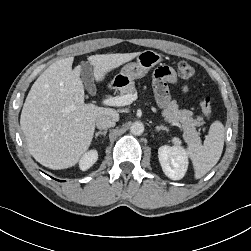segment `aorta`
<instances>
[{"label": "aorta", "instance_id": "1", "mask_svg": "<svg viewBox=\"0 0 251 251\" xmlns=\"http://www.w3.org/2000/svg\"><path fill=\"white\" fill-rule=\"evenodd\" d=\"M130 131L133 135H141L144 132L143 123L139 121L134 122L130 127Z\"/></svg>", "mask_w": 251, "mask_h": 251}]
</instances>
